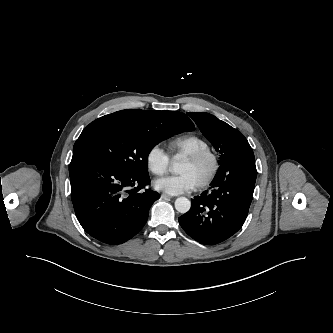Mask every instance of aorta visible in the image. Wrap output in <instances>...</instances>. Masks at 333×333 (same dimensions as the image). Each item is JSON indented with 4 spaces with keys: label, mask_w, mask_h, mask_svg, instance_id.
I'll use <instances>...</instances> for the list:
<instances>
[{
    "label": "aorta",
    "mask_w": 333,
    "mask_h": 333,
    "mask_svg": "<svg viewBox=\"0 0 333 333\" xmlns=\"http://www.w3.org/2000/svg\"><path fill=\"white\" fill-rule=\"evenodd\" d=\"M175 165L170 169L171 172L175 171ZM191 202L186 197H179L175 200V208L179 213H186L190 210Z\"/></svg>",
    "instance_id": "762f6f07"
}]
</instances>
